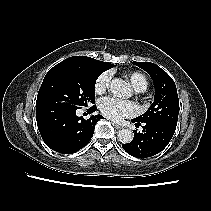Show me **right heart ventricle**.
Returning a JSON list of instances; mask_svg holds the SVG:
<instances>
[{"instance_id":"obj_1","label":"right heart ventricle","mask_w":211,"mask_h":211,"mask_svg":"<svg viewBox=\"0 0 211 211\" xmlns=\"http://www.w3.org/2000/svg\"><path fill=\"white\" fill-rule=\"evenodd\" d=\"M128 78L137 91H144L147 89L148 81L144 74L140 72H131L128 74Z\"/></svg>"}]
</instances>
